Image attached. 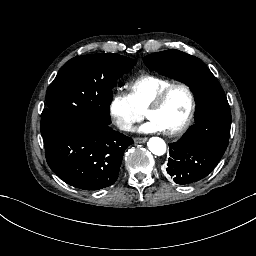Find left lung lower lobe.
I'll return each mask as SVG.
<instances>
[{"mask_svg": "<svg viewBox=\"0 0 256 256\" xmlns=\"http://www.w3.org/2000/svg\"><path fill=\"white\" fill-rule=\"evenodd\" d=\"M168 174L174 178L175 183H178L181 185L193 183L206 177V176L178 175L170 172H168Z\"/></svg>", "mask_w": 256, "mask_h": 256, "instance_id": "obj_1", "label": "left lung lower lobe"}]
</instances>
